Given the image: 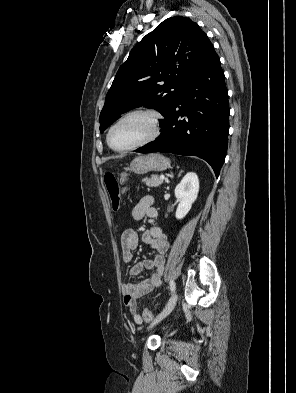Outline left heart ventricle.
I'll use <instances>...</instances> for the list:
<instances>
[{
  "label": "left heart ventricle",
  "instance_id": "b2bd125f",
  "mask_svg": "<svg viewBox=\"0 0 296 393\" xmlns=\"http://www.w3.org/2000/svg\"><path fill=\"white\" fill-rule=\"evenodd\" d=\"M151 131L150 119L135 115L123 120L113 129L111 143L115 148H126L148 137Z\"/></svg>",
  "mask_w": 296,
  "mask_h": 393
}]
</instances>
